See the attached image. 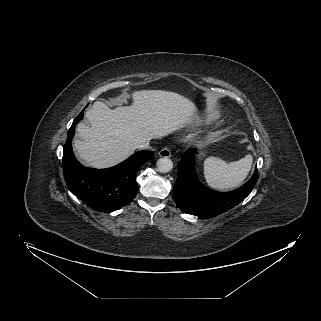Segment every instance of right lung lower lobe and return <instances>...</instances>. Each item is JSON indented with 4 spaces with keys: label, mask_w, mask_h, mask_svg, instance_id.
Here are the masks:
<instances>
[{
    "label": "right lung lower lobe",
    "mask_w": 321,
    "mask_h": 321,
    "mask_svg": "<svg viewBox=\"0 0 321 321\" xmlns=\"http://www.w3.org/2000/svg\"><path fill=\"white\" fill-rule=\"evenodd\" d=\"M84 110L73 121L63 149V173L69 190L94 210L111 212L127 205L135 197L139 168L153 158L147 150L139 151L122 163L108 169L82 166L74 157L72 138Z\"/></svg>",
    "instance_id": "98d812e1"
}]
</instances>
